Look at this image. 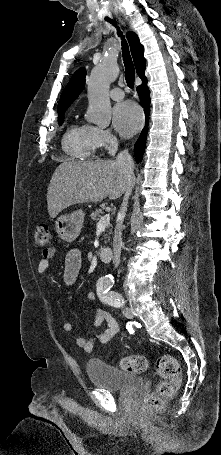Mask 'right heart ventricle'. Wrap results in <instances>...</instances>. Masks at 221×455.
I'll use <instances>...</instances> for the list:
<instances>
[{"instance_id": "obj_1", "label": "right heart ventricle", "mask_w": 221, "mask_h": 455, "mask_svg": "<svg viewBox=\"0 0 221 455\" xmlns=\"http://www.w3.org/2000/svg\"><path fill=\"white\" fill-rule=\"evenodd\" d=\"M64 152L74 159H89L96 150L92 126L71 124L64 134L62 140Z\"/></svg>"}]
</instances>
